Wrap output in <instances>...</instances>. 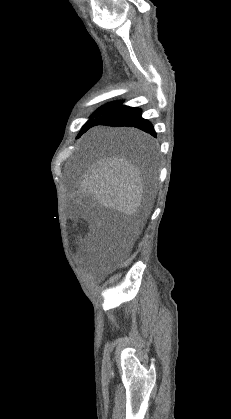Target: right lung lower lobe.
Here are the masks:
<instances>
[{
	"label": "right lung lower lobe",
	"instance_id": "right-lung-lower-lobe-1",
	"mask_svg": "<svg viewBox=\"0 0 231 419\" xmlns=\"http://www.w3.org/2000/svg\"><path fill=\"white\" fill-rule=\"evenodd\" d=\"M95 125L132 126L156 137L152 124L141 117V109L125 105L116 106L99 117L92 126Z\"/></svg>",
	"mask_w": 231,
	"mask_h": 419
}]
</instances>
